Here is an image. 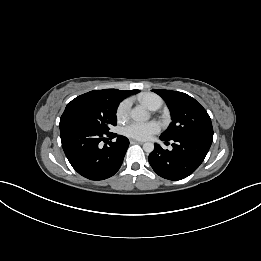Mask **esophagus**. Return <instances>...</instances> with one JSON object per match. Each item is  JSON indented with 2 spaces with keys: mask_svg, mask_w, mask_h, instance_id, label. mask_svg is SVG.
Returning a JSON list of instances; mask_svg holds the SVG:
<instances>
[{
  "mask_svg": "<svg viewBox=\"0 0 261 261\" xmlns=\"http://www.w3.org/2000/svg\"><path fill=\"white\" fill-rule=\"evenodd\" d=\"M131 144H143V141H138V140H130Z\"/></svg>",
  "mask_w": 261,
  "mask_h": 261,
  "instance_id": "esophagus-1",
  "label": "esophagus"
}]
</instances>
